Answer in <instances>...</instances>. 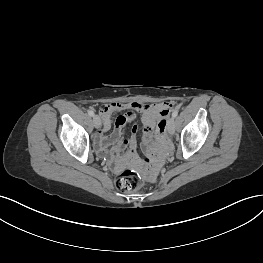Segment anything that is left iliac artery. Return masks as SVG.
<instances>
[{
  "mask_svg": "<svg viewBox=\"0 0 263 263\" xmlns=\"http://www.w3.org/2000/svg\"><path fill=\"white\" fill-rule=\"evenodd\" d=\"M178 115V111L177 110H174L173 113H172V117L173 118H176Z\"/></svg>",
  "mask_w": 263,
  "mask_h": 263,
  "instance_id": "obj_1",
  "label": "left iliac artery"
}]
</instances>
